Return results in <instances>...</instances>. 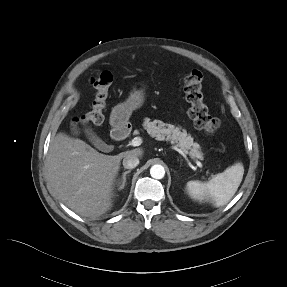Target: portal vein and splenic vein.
I'll list each match as a JSON object with an SVG mask.
<instances>
[{
	"instance_id": "portal-vein-and-splenic-vein-1",
	"label": "portal vein and splenic vein",
	"mask_w": 287,
	"mask_h": 287,
	"mask_svg": "<svg viewBox=\"0 0 287 287\" xmlns=\"http://www.w3.org/2000/svg\"><path fill=\"white\" fill-rule=\"evenodd\" d=\"M142 142H143V140H142L141 137H134V138L131 140L130 144H131L133 147H137V146H140V145L142 144ZM175 150H177L180 154L185 155V153H184L181 149L175 147ZM196 164H197V166H198L199 168H202V167H203V165H202V163H201L200 161H197V160H196Z\"/></svg>"
}]
</instances>
